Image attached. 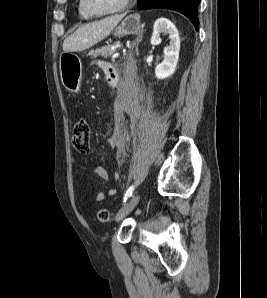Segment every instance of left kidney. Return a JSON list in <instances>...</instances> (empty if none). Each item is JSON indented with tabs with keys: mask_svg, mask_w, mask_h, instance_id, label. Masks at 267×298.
Here are the masks:
<instances>
[{
	"mask_svg": "<svg viewBox=\"0 0 267 298\" xmlns=\"http://www.w3.org/2000/svg\"><path fill=\"white\" fill-rule=\"evenodd\" d=\"M161 34H168L170 39L169 45L164 48V60L155 68L156 77L162 80L170 77L175 72L179 58L180 37L175 25L166 18H160L154 23L151 37L152 45L161 43Z\"/></svg>",
	"mask_w": 267,
	"mask_h": 298,
	"instance_id": "5707ae66",
	"label": "left kidney"
}]
</instances>
